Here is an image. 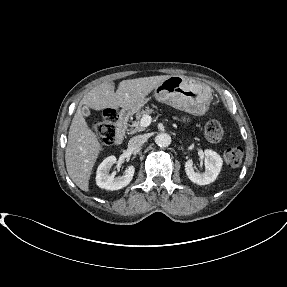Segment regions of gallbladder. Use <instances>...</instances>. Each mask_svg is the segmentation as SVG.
<instances>
[{
  "instance_id": "bac80fb5",
  "label": "gallbladder",
  "mask_w": 287,
  "mask_h": 287,
  "mask_svg": "<svg viewBox=\"0 0 287 287\" xmlns=\"http://www.w3.org/2000/svg\"><path fill=\"white\" fill-rule=\"evenodd\" d=\"M82 113H83V115H84L85 117H89V116L91 115V112H90L89 108L86 107V106H84V107L82 108Z\"/></svg>"
}]
</instances>
